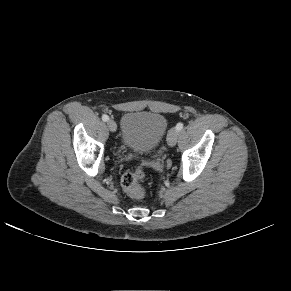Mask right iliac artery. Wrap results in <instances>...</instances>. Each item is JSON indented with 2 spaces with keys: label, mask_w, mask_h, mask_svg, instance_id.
Instances as JSON below:
<instances>
[{
  "label": "right iliac artery",
  "mask_w": 291,
  "mask_h": 291,
  "mask_svg": "<svg viewBox=\"0 0 291 291\" xmlns=\"http://www.w3.org/2000/svg\"><path fill=\"white\" fill-rule=\"evenodd\" d=\"M102 120L105 121V122L108 121L109 120V116L104 114L102 116Z\"/></svg>",
  "instance_id": "right-iliac-artery-1"
}]
</instances>
